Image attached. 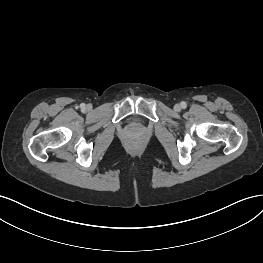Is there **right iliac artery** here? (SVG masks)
I'll use <instances>...</instances> for the list:
<instances>
[{
    "mask_svg": "<svg viewBox=\"0 0 263 263\" xmlns=\"http://www.w3.org/2000/svg\"><path fill=\"white\" fill-rule=\"evenodd\" d=\"M80 107H81V108H85V104L82 103V104L80 105Z\"/></svg>",
    "mask_w": 263,
    "mask_h": 263,
    "instance_id": "obj_1",
    "label": "right iliac artery"
}]
</instances>
